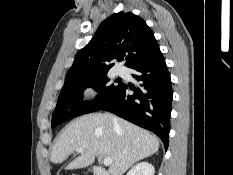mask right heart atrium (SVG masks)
I'll return each mask as SVG.
<instances>
[{"label":"right heart atrium","instance_id":"d8ad5b80","mask_svg":"<svg viewBox=\"0 0 233 175\" xmlns=\"http://www.w3.org/2000/svg\"><path fill=\"white\" fill-rule=\"evenodd\" d=\"M82 95L86 99H96L98 96V90L95 86L87 85L82 89Z\"/></svg>","mask_w":233,"mask_h":175}]
</instances>
